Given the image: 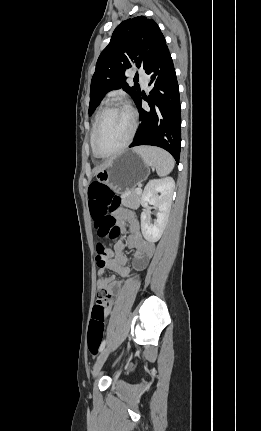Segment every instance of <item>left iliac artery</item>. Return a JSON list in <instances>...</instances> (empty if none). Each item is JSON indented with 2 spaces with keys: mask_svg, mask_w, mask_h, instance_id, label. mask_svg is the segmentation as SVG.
Instances as JSON below:
<instances>
[{
  "mask_svg": "<svg viewBox=\"0 0 261 431\" xmlns=\"http://www.w3.org/2000/svg\"><path fill=\"white\" fill-rule=\"evenodd\" d=\"M105 345H106V341L104 340V341L101 343V345H100L99 352H102V351H103V349H104Z\"/></svg>",
  "mask_w": 261,
  "mask_h": 431,
  "instance_id": "44dca946",
  "label": "left iliac artery"
}]
</instances>
